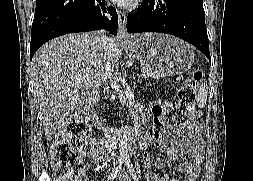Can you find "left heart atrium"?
<instances>
[{
	"mask_svg": "<svg viewBox=\"0 0 253 181\" xmlns=\"http://www.w3.org/2000/svg\"><path fill=\"white\" fill-rule=\"evenodd\" d=\"M112 1L119 6L128 7L133 5L135 0H112Z\"/></svg>",
	"mask_w": 253,
	"mask_h": 181,
	"instance_id": "1",
	"label": "left heart atrium"
}]
</instances>
